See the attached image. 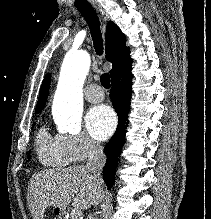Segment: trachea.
<instances>
[{
  "instance_id": "1",
  "label": "trachea",
  "mask_w": 211,
  "mask_h": 219,
  "mask_svg": "<svg viewBox=\"0 0 211 219\" xmlns=\"http://www.w3.org/2000/svg\"><path fill=\"white\" fill-rule=\"evenodd\" d=\"M77 9L81 12L85 18L93 39L94 49L97 55L103 54V39L100 30L99 18L91 5L77 6ZM101 84L104 88H110V76L108 73H104L100 78Z\"/></svg>"
}]
</instances>
